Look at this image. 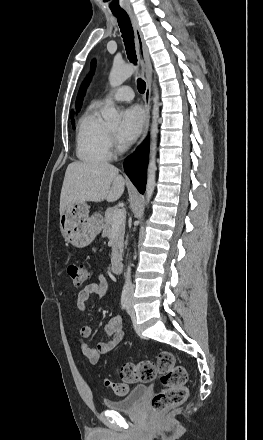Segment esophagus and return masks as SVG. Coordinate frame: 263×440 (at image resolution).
<instances>
[{
  "label": "esophagus",
  "instance_id": "34e87169",
  "mask_svg": "<svg viewBox=\"0 0 263 440\" xmlns=\"http://www.w3.org/2000/svg\"><path fill=\"white\" fill-rule=\"evenodd\" d=\"M128 14L131 19V23L134 30L135 35V43H136V50L138 59L141 65L142 75L146 82V90L144 93V111H145V122L142 132V137L140 139V143L144 141V139L147 136L149 123H150V108H151V74H152V65L149 59L148 50L140 29V26L138 24V21L135 17V15L128 11Z\"/></svg>",
  "mask_w": 263,
  "mask_h": 440
}]
</instances>
